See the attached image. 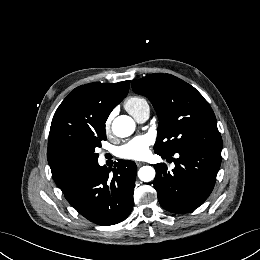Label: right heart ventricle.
I'll return each instance as SVG.
<instances>
[{
	"label": "right heart ventricle",
	"instance_id": "1",
	"mask_svg": "<svg viewBox=\"0 0 260 260\" xmlns=\"http://www.w3.org/2000/svg\"><path fill=\"white\" fill-rule=\"evenodd\" d=\"M148 105L147 101L139 96H132L129 97L125 102L126 110L131 114H135L140 108L143 106Z\"/></svg>",
	"mask_w": 260,
	"mask_h": 260
}]
</instances>
